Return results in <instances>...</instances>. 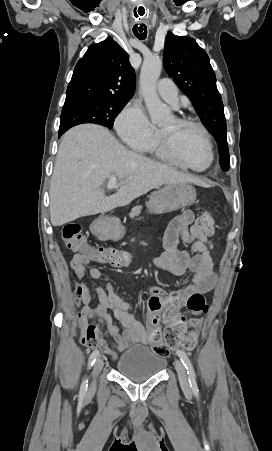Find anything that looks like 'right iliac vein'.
I'll return each mask as SVG.
<instances>
[{
    "label": "right iliac vein",
    "instance_id": "63e3f726",
    "mask_svg": "<svg viewBox=\"0 0 272 451\" xmlns=\"http://www.w3.org/2000/svg\"><path fill=\"white\" fill-rule=\"evenodd\" d=\"M102 367H103L102 359H97V361L94 364V369H93V373H92L94 383H95L96 378L99 375L100 371L102 370Z\"/></svg>",
    "mask_w": 272,
    "mask_h": 451
}]
</instances>
